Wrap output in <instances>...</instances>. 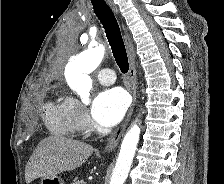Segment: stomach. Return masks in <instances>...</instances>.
<instances>
[{
  "label": "stomach",
  "mask_w": 224,
  "mask_h": 184,
  "mask_svg": "<svg viewBox=\"0 0 224 184\" xmlns=\"http://www.w3.org/2000/svg\"><path fill=\"white\" fill-rule=\"evenodd\" d=\"M40 184H64V181L59 176L42 177Z\"/></svg>",
  "instance_id": "obj_1"
}]
</instances>
